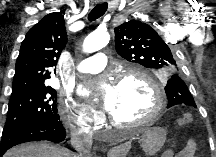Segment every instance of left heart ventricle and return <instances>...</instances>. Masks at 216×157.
I'll return each instance as SVG.
<instances>
[{"instance_id": "obj_1", "label": "left heart ventricle", "mask_w": 216, "mask_h": 157, "mask_svg": "<svg viewBox=\"0 0 216 157\" xmlns=\"http://www.w3.org/2000/svg\"><path fill=\"white\" fill-rule=\"evenodd\" d=\"M154 106L149 86L138 78H127L113 91L110 113L119 121L134 122L145 118Z\"/></svg>"}]
</instances>
